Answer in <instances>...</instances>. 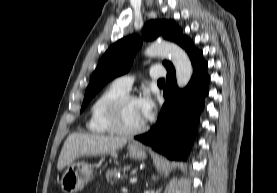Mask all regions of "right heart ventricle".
Masks as SVG:
<instances>
[{
    "instance_id": "right-heart-ventricle-1",
    "label": "right heart ventricle",
    "mask_w": 277,
    "mask_h": 193,
    "mask_svg": "<svg viewBox=\"0 0 277 193\" xmlns=\"http://www.w3.org/2000/svg\"><path fill=\"white\" fill-rule=\"evenodd\" d=\"M125 93L112 83L94 99L89 108V116L86 122V128L89 132L98 135L112 133L105 118V111L111 101Z\"/></svg>"
}]
</instances>
